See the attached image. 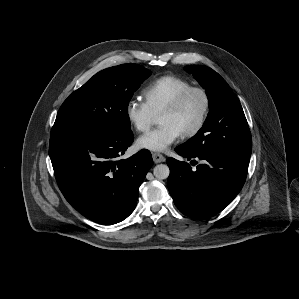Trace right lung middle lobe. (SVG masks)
<instances>
[{"instance_id":"obj_1","label":"right lung middle lobe","mask_w":299,"mask_h":299,"mask_svg":"<svg viewBox=\"0 0 299 299\" xmlns=\"http://www.w3.org/2000/svg\"><path fill=\"white\" fill-rule=\"evenodd\" d=\"M151 72L138 64H122L95 74L62 104L51 133L100 134L131 128L128 103Z\"/></svg>"}]
</instances>
